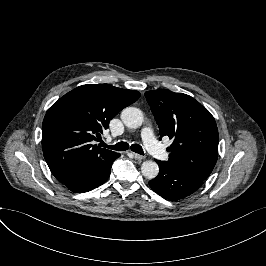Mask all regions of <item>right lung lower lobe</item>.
<instances>
[{"label":"right lung lower lobe","mask_w":266,"mask_h":266,"mask_svg":"<svg viewBox=\"0 0 266 266\" xmlns=\"http://www.w3.org/2000/svg\"><path fill=\"white\" fill-rule=\"evenodd\" d=\"M120 156L114 155L108 161L86 164L80 167L71 179L64 182L68 189L76 193L90 191L103 184L109 177L113 161Z\"/></svg>","instance_id":"98d812e1"}]
</instances>
